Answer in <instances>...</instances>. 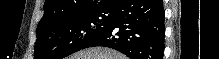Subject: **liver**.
Listing matches in <instances>:
<instances>
[{"label": "liver", "mask_w": 219, "mask_h": 59, "mask_svg": "<svg viewBox=\"0 0 219 59\" xmlns=\"http://www.w3.org/2000/svg\"><path fill=\"white\" fill-rule=\"evenodd\" d=\"M68 59H127V57L108 48H89L71 55Z\"/></svg>", "instance_id": "liver-1"}]
</instances>
